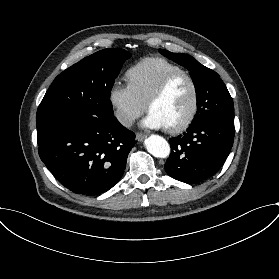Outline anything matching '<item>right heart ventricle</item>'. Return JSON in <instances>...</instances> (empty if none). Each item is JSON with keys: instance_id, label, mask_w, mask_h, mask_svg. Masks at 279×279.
<instances>
[{"instance_id": "right-heart-ventricle-1", "label": "right heart ventricle", "mask_w": 279, "mask_h": 279, "mask_svg": "<svg viewBox=\"0 0 279 279\" xmlns=\"http://www.w3.org/2000/svg\"><path fill=\"white\" fill-rule=\"evenodd\" d=\"M178 71L184 69L175 62L161 57H147L134 64L126 76L136 95L147 102L164 78Z\"/></svg>"}]
</instances>
